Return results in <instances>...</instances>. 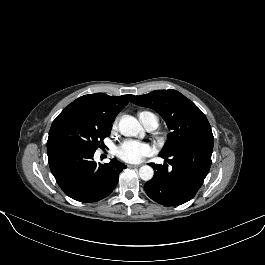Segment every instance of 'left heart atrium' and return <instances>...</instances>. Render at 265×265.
Instances as JSON below:
<instances>
[{
    "instance_id": "left-heart-atrium-1",
    "label": "left heart atrium",
    "mask_w": 265,
    "mask_h": 265,
    "mask_svg": "<svg viewBox=\"0 0 265 265\" xmlns=\"http://www.w3.org/2000/svg\"><path fill=\"white\" fill-rule=\"evenodd\" d=\"M120 159L127 162H139L152 154V148L143 142L128 140L123 142L117 149Z\"/></svg>"
}]
</instances>
